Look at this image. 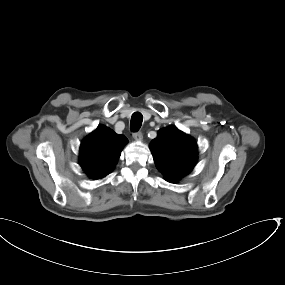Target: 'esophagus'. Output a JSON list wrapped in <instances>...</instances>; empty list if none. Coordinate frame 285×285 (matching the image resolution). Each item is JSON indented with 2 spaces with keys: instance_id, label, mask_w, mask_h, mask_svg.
I'll list each match as a JSON object with an SVG mask.
<instances>
[{
  "instance_id": "esophagus-1",
  "label": "esophagus",
  "mask_w": 285,
  "mask_h": 285,
  "mask_svg": "<svg viewBox=\"0 0 285 285\" xmlns=\"http://www.w3.org/2000/svg\"><path fill=\"white\" fill-rule=\"evenodd\" d=\"M132 136H133V138H134L135 140H137V141H142V139H143L142 133H141L140 131L134 132V133L132 134Z\"/></svg>"
}]
</instances>
